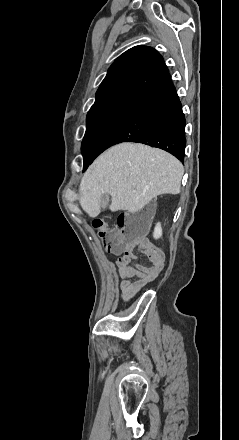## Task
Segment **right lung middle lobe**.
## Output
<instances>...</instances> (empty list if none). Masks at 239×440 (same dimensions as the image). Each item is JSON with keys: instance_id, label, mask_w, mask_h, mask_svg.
Segmentation results:
<instances>
[{"instance_id": "1", "label": "right lung middle lobe", "mask_w": 239, "mask_h": 440, "mask_svg": "<svg viewBox=\"0 0 239 440\" xmlns=\"http://www.w3.org/2000/svg\"><path fill=\"white\" fill-rule=\"evenodd\" d=\"M131 99L115 98L91 107L87 114V129L82 141L83 155L93 152L99 139L117 120Z\"/></svg>"}]
</instances>
